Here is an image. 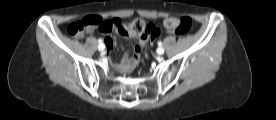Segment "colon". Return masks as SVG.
<instances>
[{"mask_svg":"<svg viewBox=\"0 0 276 120\" xmlns=\"http://www.w3.org/2000/svg\"><path fill=\"white\" fill-rule=\"evenodd\" d=\"M166 30L179 35L188 34L193 21L190 17H169L164 20ZM95 29L103 33L118 31L124 37H139L140 39L153 40L159 33V30L153 24L146 23L143 19L137 18L130 21L120 22L117 20H104L99 16H87L79 21L71 22L67 26V32L70 36L77 38L84 32H91Z\"/></svg>","mask_w":276,"mask_h":120,"instance_id":"obj_1","label":"colon"}]
</instances>
